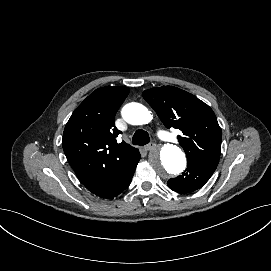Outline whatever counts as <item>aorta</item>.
I'll use <instances>...</instances> for the list:
<instances>
[{"label": "aorta", "instance_id": "obj_1", "mask_svg": "<svg viewBox=\"0 0 271 271\" xmlns=\"http://www.w3.org/2000/svg\"><path fill=\"white\" fill-rule=\"evenodd\" d=\"M122 117L132 125L147 124L152 120L151 112L140 103H129L122 109ZM149 161L157 174L164 178L180 174L185 170L186 157L177 146L166 144L150 153Z\"/></svg>", "mask_w": 271, "mask_h": 271}]
</instances>
